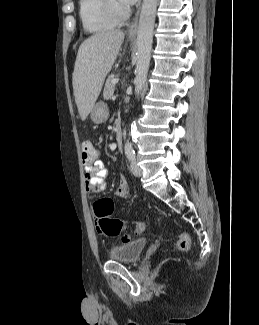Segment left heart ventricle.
<instances>
[{"instance_id": "b2bd125f", "label": "left heart ventricle", "mask_w": 259, "mask_h": 325, "mask_svg": "<svg viewBox=\"0 0 259 325\" xmlns=\"http://www.w3.org/2000/svg\"><path fill=\"white\" fill-rule=\"evenodd\" d=\"M119 4L124 5L121 0H116Z\"/></svg>"}]
</instances>
